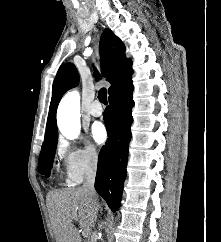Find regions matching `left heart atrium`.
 <instances>
[{"label":"left heart atrium","instance_id":"39dd6f15","mask_svg":"<svg viewBox=\"0 0 221 242\" xmlns=\"http://www.w3.org/2000/svg\"><path fill=\"white\" fill-rule=\"evenodd\" d=\"M92 135L94 140L101 144L103 142L106 141L107 139V131L106 128L104 127L103 124L101 123H96L93 127H92Z\"/></svg>","mask_w":221,"mask_h":242}]
</instances>
